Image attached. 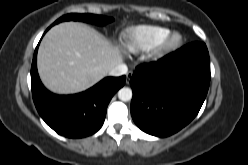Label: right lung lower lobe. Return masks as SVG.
I'll return each mask as SVG.
<instances>
[{"instance_id":"obj_1","label":"right lung lower lobe","mask_w":248,"mask_h":165,"mask_svg":"<svg viewBox=\"0 0 248 165\" xmlns=\"http://www.w3.org/2000/svg\"><path fill=\"white\" fill-rule=\"evenodd\" d=\"M37 49L38 46L31 66V85L33 101L42 119L58 134L69 138L97 132L103 125L112 96L124 85L126 77H107L79 94L55 95L39 79Z\"/></svg>"}]
</instances>
